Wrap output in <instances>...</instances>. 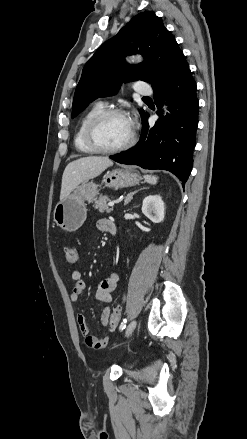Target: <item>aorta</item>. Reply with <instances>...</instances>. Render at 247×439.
Masks as SVG:
<instances>
[{"label":"aorta","mask_w":247,"mask_h":439,"mask_svg":"<svg viewBox=\"0 0 247 439\" xmlns=\"http://www.w3.org/2000/svg\"><path fill=\"white\" fill-rule=\"evenodd\" d=\"M131 60L134 61H139L140 60V56H136V57H132Z\"/></svg>","instance_id":"1"}]
</instances>
